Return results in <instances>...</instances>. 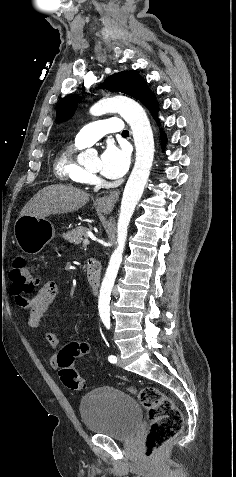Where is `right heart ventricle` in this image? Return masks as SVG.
<instances>
[{"instance_id": "1", "label": "right heart ventricle", "mask_w": 236, "mask_h": 477, "mask_svg": "<svg viewBox=\"0 0 236 477\" xmlns=\"http://www.w3.org/2000/svg\"><path fill=\"white\" fill-rule=\"evenodd\" d=\"M84 147L85 146L75 142L60 154L56 161L55 172L61 180L74 185L88 184L91 182V176L86 168L80 165L76 160V153Z\"/></svg>"}]
</instances>
